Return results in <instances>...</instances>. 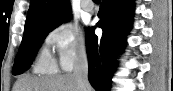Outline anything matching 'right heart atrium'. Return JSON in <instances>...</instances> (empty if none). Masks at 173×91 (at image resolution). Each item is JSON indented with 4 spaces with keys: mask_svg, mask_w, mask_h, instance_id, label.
<instances>
[{
    "mask_svg": "<svg viewBox=\"0 0 173 91\" xmlns=\"http://www.w3.org/2000/svg\"><path fill=\"white\" fill-rule=\"evenodd\" d=\"M46 42L56 52L58 65L63 71H71L84 58L87 50L83 32L71 21H64L52 28Z\"/></svg>",
    "mask_w": 173,
    "mask_h": 91,
    "instance_id": "obj_1",
    "label": "right heart atrium"
}]
</instances>
